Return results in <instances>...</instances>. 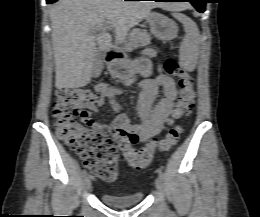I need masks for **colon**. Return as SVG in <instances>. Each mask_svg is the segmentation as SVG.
Segmentation results:
<instances>
[{
  "label": "colon",
  "instance_id": "5ec220e1",
  "mask_svg": "<svg viewBox=\"0 0 260 217\" xmlns=\"http://www.w3.org/2000/svg\"><path fill=\"white\" fill-rule=\"evenodd\" d=\"M168 75L179 78V97L173 110V118L188 116L195 103L194 79L174 59L165 63ZM99 94L87 89H62L56 94L53 105L55 132L57 136L75 152L85 168L104 181H113L117 175L118 152L132 168L140 170L152 161L155 152L167 151L182 133L181 126L171 128L160 140L143 149L131 146L128 139L121 137L116 144L101 128L91 123H81L80 111L89 105L101 104Z\"/></svg>",
  "mask_w": 260,
  "mask_h": 217
}]
</instances>
